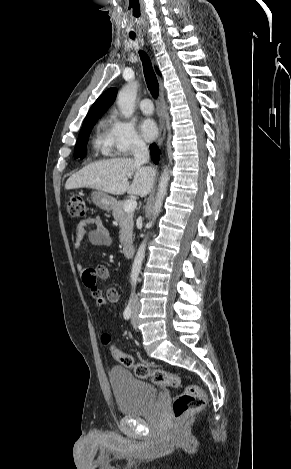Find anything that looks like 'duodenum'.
I'll list each match as a JSON object with an SVG mask.
<instances>
[{"mask_svg":"<svg viewBox=\"0 0 291 469\" xmlns=\"http://www.w3.org/2000/svg\"><path fill=\"white\" fill-rule=\"evenodd\" d=\"M134 254V245L128 243L124 246V255L126 257H131Z\"/></svg>","mask_w":291,"mask_h":469,"instance_id":"duodenum-1","label":"duodenum"}]
</instances>
